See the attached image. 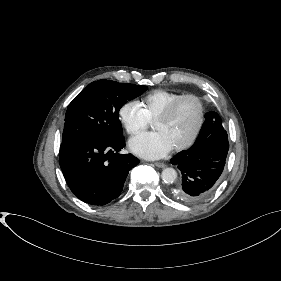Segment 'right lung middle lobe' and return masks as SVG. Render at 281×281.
Listing matches in <instances>:
<instances>
[{
    "mask_svg": "<svg viewBox=\"0 0 281 281\" xmlns=\"http://www.w3.org/2000/svg\"><path fill=\"white\" fill-rule=\"evenodd\" d=\"M147 86L99 80L84 88L68 105L60 150L81 141H107L123 136L120 108Z\"/></svg>",
    "mask_w": 281,
    "mask_h": 281,
    "instance_id": "dd1d6c3e",
    "label": "right lung middle lobe"
}]
</instances>
